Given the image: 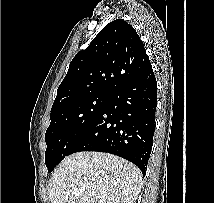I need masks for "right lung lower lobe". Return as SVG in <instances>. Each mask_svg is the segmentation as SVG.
I'll return each mask as SVG.
<instances>
[{"label": "right lung lower lobe", "instance_id": "obj_1", "mask_svg": "<svg viewBox=\"0 0 214 203\" xmlns=\"http://www.w3.org/2000/svg\"><path fill=\"white\" fill-rule=\"evenodd\" d=\"M157 82L153 70L109 93L91 127L71 149L107 152L127 159L146 174L155 130Z\"/></svg>", "mask_w": 214, "mask_h": 203}]
</instances>
